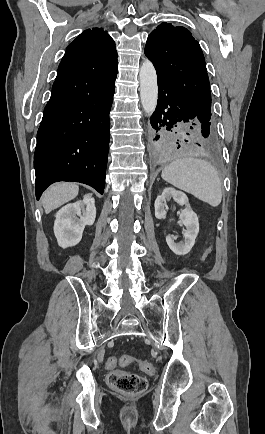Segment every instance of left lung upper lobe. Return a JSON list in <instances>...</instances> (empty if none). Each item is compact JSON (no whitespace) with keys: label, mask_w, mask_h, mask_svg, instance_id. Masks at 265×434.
Wrapping results in <instances>:
<instances>
[{"label":"left lung upper lobe","mask_w":265,"mask_h":434,"mask_svg":"<svg viewBox=\"0 0 265 434\" xmlns=\"http://www.w3.org/2000/svg\"><path fill=\"white\" fill-rule=\"evenodd\" d=\"M145 54L153 62L159 78L213 121L205 58L188 29L170 23L158 25L148 36Z\"/></svg>","instance_id":"1"}]
</instances>
